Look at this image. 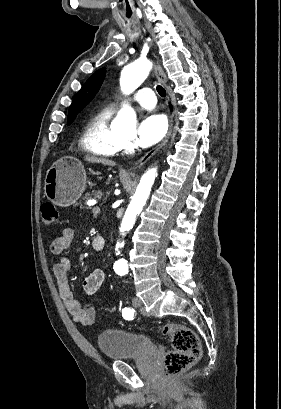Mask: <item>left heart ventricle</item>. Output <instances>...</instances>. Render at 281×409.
Here are the masks:
<instances>
[{
  "label": "left heart ventricle",
  "mask_w": 281,
  "mask_h": 409,
  "mask_svg": "<svg viewBox=\"0 0 281 409\" xmlns=\"http://www.w3.org/2000/svg\"><path fill=\"white\" fill-rule=\"evenodd\" d=\"M117 133L122 136L124 139L128 140L129 142H131L134 137L136 132H129V131H117Z\"/></svg>",
  "instance_id": "b2bd125f"
}]
</instances>
